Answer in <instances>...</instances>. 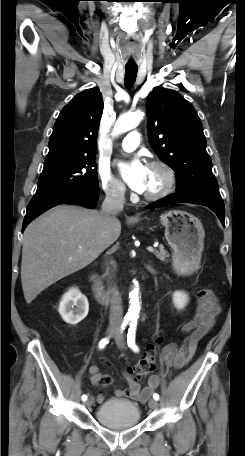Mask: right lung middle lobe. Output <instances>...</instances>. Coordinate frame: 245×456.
Wrapping results in <instances>:
<instances>
[{"label":"right lung middle lobe","mask_w":245,"mask_h":456,"mask_svg":"<svg viewBox=\"0 0 245 456\" xmlns=\"http://www.w3.org/2000/svg\"><path fill=\"white\" fill-rule=\"evenodd\" d=\"M94 155L68 158L45 164L33 198L69 191L99 189Z\"/></svg>","instance_id":"1"}]
</instances>
